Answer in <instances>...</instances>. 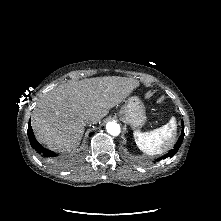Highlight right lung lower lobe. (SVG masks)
<instances>
[{"label": "right lung lower lobe", "instance_id": "right-lung-lower-lobe-1", "mask_svg": "<svg viewBox=\"0 0 221 221\" xmlns=\"http://www.w3.org/2000/svg\"><path fill=\"white\" fill-rule=\"evenodd\" d=\"M28 138L30 141L31 146L41 155L47 158L55 157L57 156L54 152L45 149L42 145H40L33 134V130L31 128V124H28V130H27ZM92 134V133H91ZM90 134V135H91Z\"/></svg>", "mask_w": 221, "mask_h": 221}]
</instances>
